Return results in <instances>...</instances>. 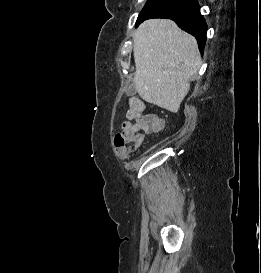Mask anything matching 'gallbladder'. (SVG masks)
Returning <instances> with one entry per match:
<instances>
[{
  "mask_svg": "<svg viewBox=\"0 0 261 273\" xmlns=\"http://www.w3.org/2000/svg\"><path fill=\"white\" fill-rule=\"evenodd\" d=\"M126 94H127L128 96H133V95L136 94V88H135L134 84H131V85L128 87V89L126 90Z\"/></svg>",
  "mask_w": 261,
  "mask_h": 273,
  "instance_id": "obj_1",
  "label": "gallbladder"
}]
</instances>
